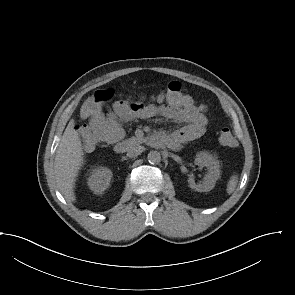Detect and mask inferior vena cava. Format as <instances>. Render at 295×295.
Here are the masks:
<instances>
[{
    "mask_svg": "<svg viewBox=\"0 0 295 295\" xmlns=\"http://www.w3.org/2000/svg\"><path fill=\"white\" fill-rule=\"evenodd\" d=\"M144 151V147L143 146H133L128 150V157H137L138 155H140L142 152Z\"/></svg>",
    "mask_w": 295,
    "mask_h": 295,
    "instance_id": "obj_1",
    "label": "inferior vena cava"
}]
</instances>
